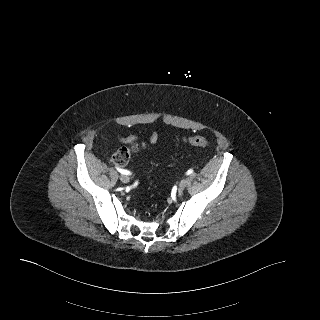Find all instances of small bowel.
I'll list each match as a JSON object with an SVG mask.
<instances>
[{
    "instance_id": "small-bowel-1",
    "label": "small bowel",
    "mask_w": 320,
    "mask_h": 320,
    "mask_svg": "<svg viewBox=\"0 0 320 320\" xmlns=\"http://www.w3.org/2000/svg\"><path fill=\"white\" fill-rule=\"evenodd\" d=\"M138 135L136 134H130L126 136H120L119 140L124 144H132L135 143L138 139ZM158 134L156 132H151L149 136V144H154L157 142Z\"/></svg>"
}]
</instances>
